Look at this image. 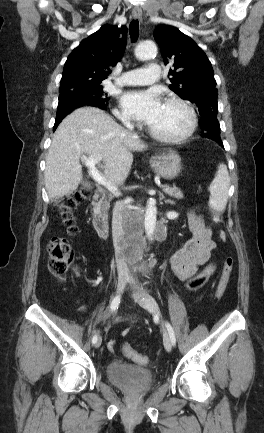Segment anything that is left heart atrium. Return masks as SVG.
Here are the masks:
<instances>
[{"instance_id": "1", "label": "left heart atrium", "mask_w": 264, "mask_h": 433, "mask_svg": "<svg viewBox=\"0 0 264 433\" xmlns=\"http://www.w3.org/2000/svg\"><path fill=\"white\" fill-rule=\"evenodd\" d=\"M125 111L137 120L151 124L162 108V101L154 90L131 91L122 96Z\"/></svg>"}]
</instances>
